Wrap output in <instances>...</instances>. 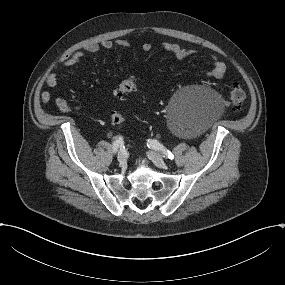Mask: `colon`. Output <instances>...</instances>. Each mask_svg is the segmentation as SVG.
Returning <instances> with one entry per match:
<instances>
[{
    "instance_id": "5ec220e1",
    "label": "colon",
    "mask_w": 285,
    "mask_h": 285,
    "mask_svg": "<svg viewBox=\"0 0 285 285\" xmlns=\"http://www.w3.org/2000/svg\"><path fill=\"white\" fill-rule=\"evenodd\" d=\"M137 89V83L134 79H127L121 82L114 90L118 98H123ZM246 99V93L241 87H235L229 93L226 99V105L233 111L239 110ZM111 122L114 126H120L124 122V116L120 111H114L111 115Z\"/></svg>"
}]
</instances>
